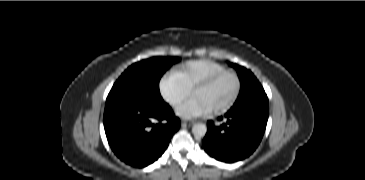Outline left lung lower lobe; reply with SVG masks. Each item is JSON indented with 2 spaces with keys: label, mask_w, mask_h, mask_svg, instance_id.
<instances>
[{
  "label": "left lung lower lobe",
  "mask_w": 365,
  "mask_h": 180,
  "mask_svg": "<svg viewBox=\"0 0 365 180\" xmlns=\"http://www.w3.org/2000/svg\"><path fill=\"white\" fill-rule=\"evenodd\" d=\"M268 114L269 105L265 93L237 100L225 114L226 122L220 126L208 122L207 134L203 140L205 151L224 162L246 158L260 143Z\"/></svg>",
  "instance_id": "obj_1"
}]
</instances>
